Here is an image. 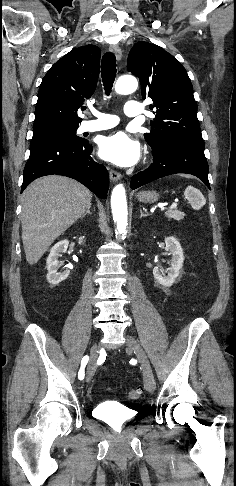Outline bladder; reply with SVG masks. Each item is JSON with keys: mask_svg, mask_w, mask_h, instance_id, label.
I'll list each match as a JSON object with an SVG mask.
<instances>
[{"mask_svg": "<svg viewBox=\"0 0 236 486\" xmlns=\"http://www.w3.org/2000/svg\"><path fill=\"white\" fill-rule=\"evenodd\" d=\"M96 417L112 424L122 425L135 417V413L117 403L104 401L94 407Z\"/></svg>", "mask_w": 236, "mask_h": 486, "instance_id": "obj_1", "label": "bladder"}]
</instances>
